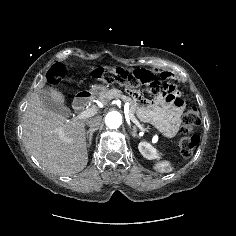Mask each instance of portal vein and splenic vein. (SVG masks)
Segmentation results:
<instances>
[{"mask_svg": "<svg viewBox=\"0 0 236 236\" xmlns=\"http://www.w3.org/2000/svg\"><path fill=\"white\" fill-rule=\"evenodd\" d=\"M124 110L126 112L127 117L140 129H142L141 124L139 123V121L136 119V117L134 116V114L130 111V105L129 102H125L124 104ZM98 112V108L97 107H91L89 109H86L82 112H80L75 118H73L71 121H77V120H82V119H86L89 118L91 116H94L95 114H97ZM60 137L63 138L64 134L63 132H60Z\"/></svg>", "mask_w": 236, "mask_h": 236, "instance_id": "1", "label": "portal vein and splenic vein"}]
</instances>
